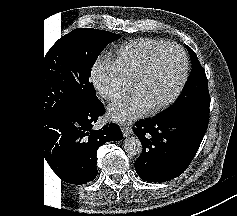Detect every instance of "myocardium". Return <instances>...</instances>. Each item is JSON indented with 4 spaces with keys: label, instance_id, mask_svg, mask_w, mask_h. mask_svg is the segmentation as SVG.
Masks as SVG:
<instances>
[{
    "label": "myocardium",
    "instance_id": "1",
    "mask_svg": "<svg viewBox=\"0 0 237 216\" xmlns=\"http://www.w3.org/2000/svg\"><path fill=\"white\" fill-rule=\"evenodd\" d=\"M168 62L177 64L175 81L170 91L163 99L157 102L142 101V103L147 107H155L161 105L165 100L172 99L174 95L178 92V90L181 88L184 77L186 57L185 52L180 48L177 53L168 54L166 51L163 55L157 56L156 58H153L151 61H148L146 65H139L138 74L134 76L132 83L130 85V97L132 98L136 97V87L139 79L143 74H149L153 69L163 67Z\"/></svg>",
    "mask_w": 237,
    "mask_h": 216
}]
</instances>
